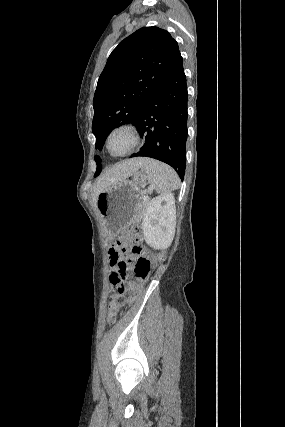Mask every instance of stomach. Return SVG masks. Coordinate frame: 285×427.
I'll list each match as a JSON object with an SVG mask.
<instances>
[{"label": "stomach", "mask_w": 285, "mask_h": 427, "mask_svg": "<svg viewBox=\"0 0 285 427\" xmlns=\"http://www.w3.org/2000/svg\"><path fill=\"white\" fill-rule=\"evenodd\" d=\"M143 171H136L131 180L124 179L103 190L97 197L96 208L108 236L135 222L139 214L140 188L147 183Z\"/></svg>", "instance_id": "0dacf381"}]
</instances>
